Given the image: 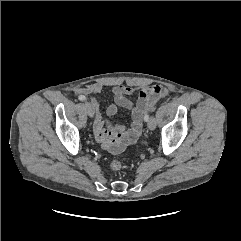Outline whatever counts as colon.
<instances>
[{
  "instance_id": "obj_1",
  "label": "colon",
  "mask_w": 241,
  "mask_h": 241,
  "mask_svg": "<svg viewBox=\"0 0 241 241\" xmlns=\"http://www.w3.org/2000/svg\"><path fill=\"white\" fill-rule=\"evenodd\" d=\"M110 167L113 171H119L122 168V162L119 159H113L110 163Z\"/></svg>"
}]
</instances>
